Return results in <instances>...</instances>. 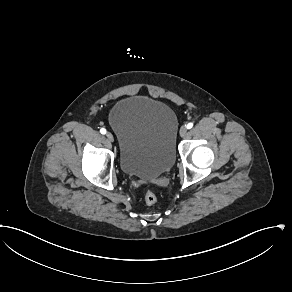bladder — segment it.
<instances>
[{"label":"bladder","instance_id":"31cf9c89","mask_svg":"<svg viewBox=\"0 0 292 292\" xmlns=\"http://www.w3.org/2000/svg\"><path fill=\"white\" fill-rule=\"evenodd\" d=\"M109 124L119 144V163L127 175L153 179L167 172L176 158L178 119L166 103L135 95L111 109Z\"/></svg>","mask_w":292,"mask_h":292}]
</instances>
